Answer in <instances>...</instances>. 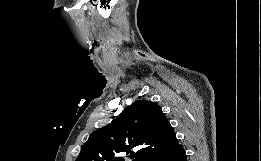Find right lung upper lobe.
<instances>
[{"label": "right lung upper lobe", "instance_id": "cb5924a9", "mask_svg": "<svg viewBox=\"0 0 261 161\" xmlns=\"http://www.w3.org/2000/svg\"><path fill=\"white\" fill-rule=\"evenodd\" d=\"M178 144L161 108L152 101L138 100L110 124L94 131L76 161H124L119 155L134 147L141 148L135 161H147Z\"/></svg>", "mask_w": 261, "mask_h": 161}]
</instances>
